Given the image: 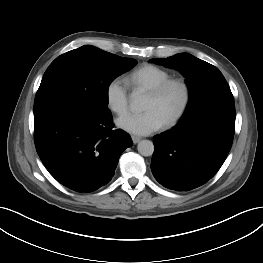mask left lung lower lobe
Listing matches in <instances>:
<instances>
[{
  "label": "left lung lower lobe",
  "mask_w": 263,
  "mask_h": 263,
  "mask_svg": "<svg viewBox=\"0 0 263 263\" xmlns=\"http://www.w3.org/2000/svg\"><path fill=\"white\" fill-rule=\"evenodd\" d=\"M235 132V105H214L182 118L153 137L151 170L164 187L189 191L209 181L224 163Z\"/></svg>",
  "instance_id": "0a47b994"
}]
</instances>
